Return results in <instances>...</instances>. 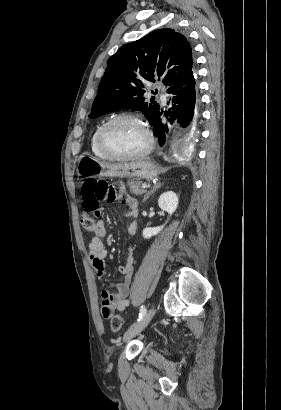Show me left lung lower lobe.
I'll return each instance as SVG.
<instances>
[{
	"mask_svg": "<svg viewBox=\"0 0 281 410\" xmlns=\"http://www.w3.org/2000/svg\"><path fill=\"white\" fill-rule=\"evenodd\" d=\"M195 70L186 77L170 86L167 93L171 94V100L167 104L172 107L164 115L168 117L170 122L177 118L180 125L184 128V135L186 139L193 140L197 137V121L199 118L198 112V94L196 84ZM163 111H159L158 115L151 123L153 126V133L158 137L160 145L166 141V133L168 131L167 125L161 122Z\"/></svg>",
	"mask_w": 281,
	"mask_h": 410,
	"instance_id": "0a47b994",
	"label": "left lung lower lobe"
}]
</instances>
